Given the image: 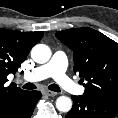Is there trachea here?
Returning a JSON list of instances; mask_svg holds the SVG:
<instances>
[{
  "label": "trachea",
  "instance_id": "3493384b",
  "mask_svg": "<svg viewBox=\"0 0 118 118\" xmlns=\"http://www.w3.org/2000/svg\"><path fill=\"white\" fill-rule=\"evenodd\" d=\"M24 89H27V90H33V89H36V85L33 84V83H26L24 86H23ZM48 89L51 90V91H54V92H60L61 89L59 88L58 85L56 84H51L48 86Z\"/></svg>",
  "mask_w": 118,
  "mask_h": 118
}]
</instances>
